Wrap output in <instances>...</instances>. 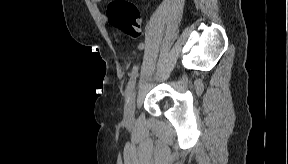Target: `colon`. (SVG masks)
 <instances>
[{"instance_id": "1", "label": "colon", "mask_w": 288, "mask_h": 164, "mask_svg": "<svg viewBox=\"0 0 288 164\" xmlns=\"http://www.w3.org/2000/svg\"><path fill=\"white\" fill-rule=\"evenodd\" d=\"M106 17L114 27L120 28L133 38L143 35L140 24L141 14L129 0H112L106 8Z\"/></svg>"}]
</instances>
